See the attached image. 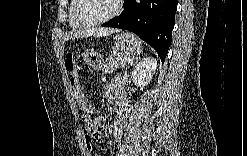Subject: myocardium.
I'll return each instance as SVG.
<instances>
[{
  "label": "myocardium",
  "instance_id": "f54148a6",
  "mask_svg": "<svg viewBox=\"0 0 247 156\" xmlns=\"http://www.w3.org/2000/svg\"><path fill=\"white\" fill-rule=\"evenodd\" d=\"M84 2H85V0H79L77 2L75 14H74L75 21L81 27H95V26L101 25L103 23H106V22L110 21L111 19L115 18L117 15H119V13L121 12V8H122V2L120 0H115L114 1V8L110 14H108L104 17H101L99 19H96V20L86 21V20L82 19L81 14H80Z\"/></svg>",
  "mask_w": 247,
  "mask_h": 156
}]
</instances>
